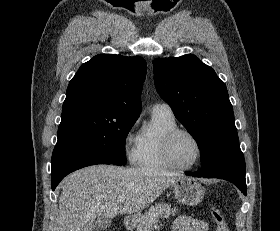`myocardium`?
<instances>
[{
    "mask_svg": "<svg viewBox=\"0 0 280 231\" xmlns=\"http://www.w3.org/2000/svg\"><path fill=\"white\" fill-rule=\"evenodd\" d=\"M179 134H187V135L191 136L197 143L198 159H197L196 163L193 164L192 166L184 167V166L177 165L172 157V144H173V141L175 140V138ZM162 153H163L164 159L171 165V167L173 169L180 170V171H190V170L197 168L201 164L203 157H204V146H203V143L200 140V138L193 131L186 129V128L177 127L175 129L168 131L164 135L163 140H162Z\"/></svg>",
    "mask_w": 280,
    "mask_h": 231,
    "instance_id": "f54148a6",
    "label": "myocardium"
}]
</instances>
